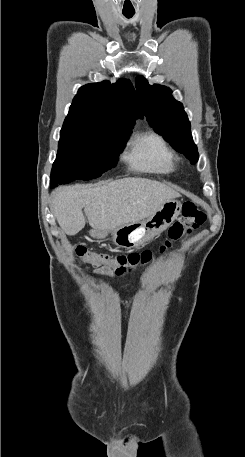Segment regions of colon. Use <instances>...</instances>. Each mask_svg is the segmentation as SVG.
Masks as SVG:
<instances>
[{"label":"colon","instance_id":"5ec220e1","mask_svg":"<svg viewBox=\"0 0 245 457\" xmlns=\"http://www.w3.org/2000/svg\"><path fill=\"white\" fill-rule=\"evenodd\" d=\"M206 216L193 201L185 202L182 206L180 218L172 224L168 231V238L156 250H143L112 257L107 254L95 253L83 245L74 248L76 256L80 260L92 262L96 265H105L113 270L117 276L132 273L147 265L155 256L165 253L173 245L188 236L205 221Z\"/></svg>","mask_w":245,"mask_h":457}]
</instances>
